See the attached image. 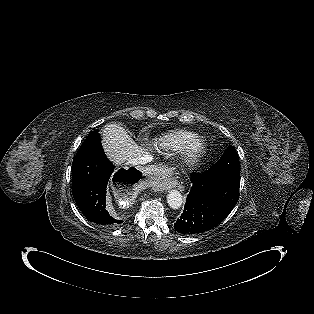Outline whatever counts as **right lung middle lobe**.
Masks as SVG:
<instances>
[{"label": "right lung middle lobe", "instance_id": "1", "mask_svg": "<svg viewBox=\"0 0 314 314\" xmlns=\"http://www.w3.org/2000/svg\"><path fill=\"white\" fill-rule=\"evenodd\" d=\"M100 143V134L97 130L92 131L88 137L85 139L81 147L79 148L76 156L82 155L91 149H93L96 145Z\"/></svg>", "mask_w": 314, "mask_h": 314}]
</instances>
